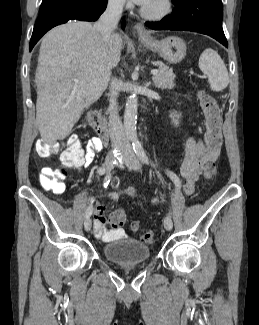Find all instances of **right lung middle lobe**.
Instances as JSON below:
<instances>
[{
	"label": "right lung middle lobe",
	"instance_id": "obj_1",
	"mask_svg": "<svg viewBox=\"0 0 259 325\" xmlns=\"http://www.w3.org/2000/svg\"><path fill=\"white\" fill-rule=\"evenodd\" d=\"M51 1H53V0H43L41 6L47 4V3L51 2Z\"/></svg>",
	"mask_w": 259,
	"mask_h": 325
}]
</instances>
